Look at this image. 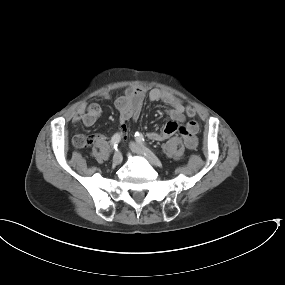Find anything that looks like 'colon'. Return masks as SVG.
Listing matches in <instances>:
<instances>
[{
	"mask_svg": "<svg viewBox=\"0 0 285 285\" xmlns=\"http://www.w3.org/2000/svg\"><path fill=\"white\" fill-rule=\"evenodd\" d=\"M186 113L188 116H194L196 113V110L193 106H188ZM90 144V139L87 135L84 134H78L74 138V145L77 148H85Z\"/></svg>",
	"mask_w": 285,
	"mask_h": 285,
	"instance_id": "colon-1",
	"label": "colon"
}]
</instances>
